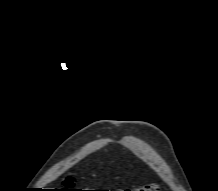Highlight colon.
<instances>
[{
	"instance_id": "colon-1",
	"label": "colon",
	"mask_w": 218,
	"mask_h": 191,
	"mask_svg": "<svg viewBox=\"0 0 218 191\" xmlns=\"http://www.w3.org/2000/svg\"><path fill=\"white\" fill-rule=\"evenodd\" d=\"M65 185H66V188H68L66 189V191H78V190L73 189L74 187H73L72 179H67ZM117 191H160V189L157 184L150 183L140 188L117 190Z\"/></svg>"
}]
</instances>
